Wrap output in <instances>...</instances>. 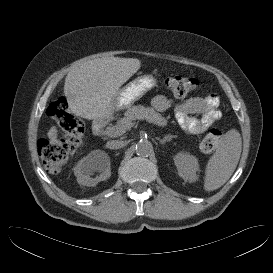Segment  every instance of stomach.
<instances>
[{
    "instance_id": "0dacf381",
    "label": "stomach",
    "mask_w": 273,
    "mask_h": 273,
    "mask_svg": "<svg viewBox=\"0 0 273 273\" xmlns=\"http://www.w3.org/2000/svg\"><path fill=\"white\" fill-rule=\"evenodd\" d=\"M156 83L157 81L152 75H143L132 80L119 90L116 97L117 109L130 107L146 92L151 90Z\"/></svg>"
}]
</instances>
